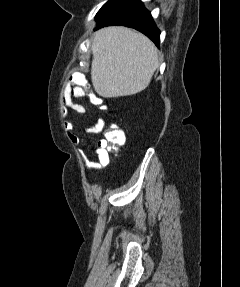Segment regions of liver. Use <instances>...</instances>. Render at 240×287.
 <instances>
[{"instance_id":"6515ba94","label":"liver","mask_w":240,"mask_h":287,"mask_svg":"<svg viewBox=\"0 0 240 287\" xmlns=\"http://www.w3.org/2000/svg\"><path fill=\"white\" fill-rule=\"evenodd\" d=\"M91 50V80L95 92L102 97L143 91L159 67L156 46L143 34L126 27L98 30Z\"/></svg>"}]
</instances>
